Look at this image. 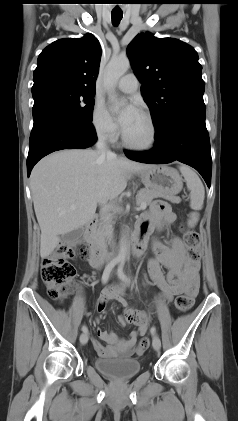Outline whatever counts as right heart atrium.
I'll list each match as a JSON object with an SVG mask.
<instances>
[{"label": "right heart atrium", "instance_id": "obj_1", "mask_svg": "<svg viewBox=\"0 0 238 421\" xmlns=\"http://www.w3.org/2000/svg\"><path fill=\"white\" fill-rule=\"evenodd\" d=\"M91 121L95 132L100 137L107 140H114L118 136V125L102 102H95Z\"/></svg>", "mask_w": 238, "mask_h": 421}]
</instances>
